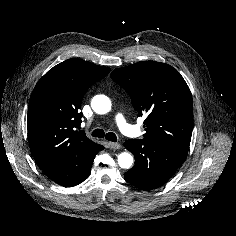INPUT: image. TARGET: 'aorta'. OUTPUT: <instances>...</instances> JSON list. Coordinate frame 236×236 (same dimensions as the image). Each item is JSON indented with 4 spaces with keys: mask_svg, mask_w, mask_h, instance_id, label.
Returning a JSON list of instances; mask_svg holds the SVG:
<instances>
[{
    "mask_svg": "<svg viewBox=\"0 0 236 236\" xmlns=\"http://www.w3.org/2000/svg\"><path fill=\"white\" fill-rule=\"evenodd\" d=\"M92 109L98 114H106L111 110V101L105 97L101 104L92 102ZM118 164L121 168L128 169L133 164V157L130 153L123 152L118 155Z\"/></svg>",
    "mask_w": 236,
    "mask_h": 236,
    "instance_id": "aorta-1",
    "label": "aorta"
}]
</instances>
